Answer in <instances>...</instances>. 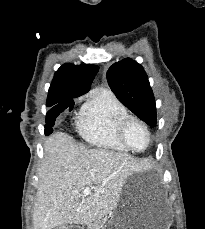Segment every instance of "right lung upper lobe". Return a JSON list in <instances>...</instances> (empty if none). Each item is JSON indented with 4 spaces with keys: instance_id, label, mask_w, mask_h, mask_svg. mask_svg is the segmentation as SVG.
<instances>
[{
    "instance_id": "cb5924a9",
    "label": "right lung upper lobe",
    "mask_w": 205,
    "mask_h": 229,
    "mask_svg": "<svg viewBox=\"0 0 205 229\" xmlns=\"http://www.w3.org/2000/svg\"><path fill=\"white\" fill-rule=\"evenodd\" d=\"M96 65L66 63L55 73L48 92L47 106L79 97L90 90L98 72Z\"/></svg>"
}]
</instances>
